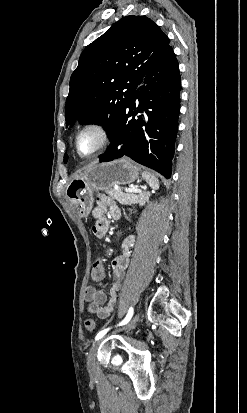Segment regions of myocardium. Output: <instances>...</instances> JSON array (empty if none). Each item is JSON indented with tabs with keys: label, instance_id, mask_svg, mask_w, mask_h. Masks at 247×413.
<instances>
[{
	"label": "myocardium",
	"instance_id": "f54148a6",
	"mask_svg": "<svg viewBox=\"0 0 247 413\" xmlns=\"http://www.w3.org/2000/svg\"><path fill=\"white\" fill-rule=\"evenodd\" d=\"M89 130H94L100 133L101 142L100 144L89 154H84L80 147V137L81 135ZM113 134L112 131L104 124L98 122H91L84 125L78 130L75 136V148L77 153L84 159H92L101 153L112 141Z\"/></svg>",
	"mask_w": 247,
	"mask_h": 413
}]
</instances>
